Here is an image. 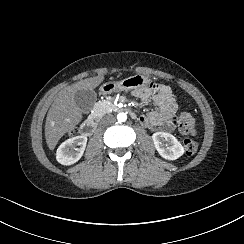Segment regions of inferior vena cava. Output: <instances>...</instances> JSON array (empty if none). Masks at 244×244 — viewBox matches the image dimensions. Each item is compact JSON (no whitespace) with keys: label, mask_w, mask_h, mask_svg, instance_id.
<instances>
[{"label":"inferior vena cava","mask_w":244,"mask_h":244,"mask_svg":"<svg viewBox=\"0 0 244 244\" xmlns=\"http://www.w3.org/2000/svg\"><path fill=\"white\" fill-rule=\"evenodd\" d=\"M110 119L112 120V123L115 122V118L114 117H110Z\"/></svg>","instance_id":"602c4592"}]
</instances>
